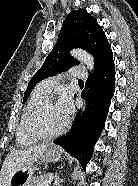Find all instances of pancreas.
Here are the masks:
<instances>
[{
  "label": "pancreas",
  "mask_w": 138,
  "mask_h": 186,
  "mask_svg": "<svg viewBox=\"0 0 138 186\" xmlns=\"http://www.w3.org/2000/svg\"><path fill=\"white\" fill-rule=\"evenodd\" d=\"M49 175L50 174H45V175H40L38 177L33 178L30 186H44V182L47 180Z\"/></svg>",
  "instance_id": "pancreas-1"
}]
</instances>
